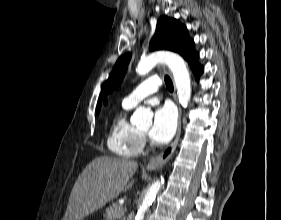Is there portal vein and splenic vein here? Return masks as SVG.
I'll use <instances>...</instances> for the list:
<instances>
[{"mask_svg":"<svg viewBox=\"0 0 281 220\" xmlns=\"http://www.w3.org/2000/svg\"><path fill=\"white\" fill-rule=\"evenodd\" d=\"M119 214H120V215H121V214H124V210L122 209Z\"/></svg>","mask_w":281,"mask_h":220,"instance_id":"18ae733b","label":"portal vein and splenic vein"}]
</instances>
